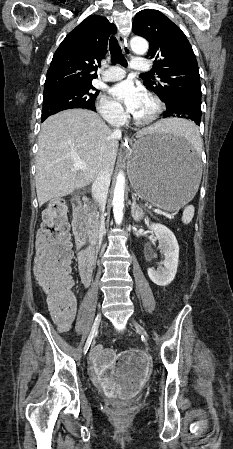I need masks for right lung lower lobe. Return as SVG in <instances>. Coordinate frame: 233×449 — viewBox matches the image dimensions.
Masks as SVG:
<instances>
[{
  "instance_id": "obj_1",
  "label": "right lung lower lobe",
  "mask_w": 233,
  "mask_h": 449,
  "mask_svg": "<svg viewBox=\"0 0 233 449\" xmlns=\"http://www.w3.org/2000/svg\"><path fill=\"white\" fill-rule=\"evenodd\" d=\"M45 119H41V121L43 122Z\"/></svg>"
}]
</instances>
